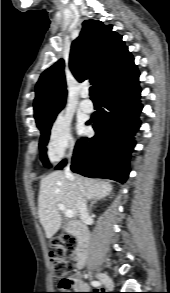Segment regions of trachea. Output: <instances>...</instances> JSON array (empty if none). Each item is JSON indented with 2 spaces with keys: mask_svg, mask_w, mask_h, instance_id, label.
I'll return each mask as SVG.
<instances>
[{
  "mask_svg": "<svg viewBox=\"0 0 170 293\" xmlns=\"http://www.w3.org/2000/svg\"><path fill=\"white\" fill-rule=\"evenodd\" d=\"M90 96L91 98H96L95 89L93 87H90Z\"/></svg>",
  "mask_w": 170,
  "mask_h": 293,
  "instance_id": "obj_1",
  "label": "trachea"
}]
</instances>
